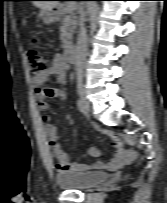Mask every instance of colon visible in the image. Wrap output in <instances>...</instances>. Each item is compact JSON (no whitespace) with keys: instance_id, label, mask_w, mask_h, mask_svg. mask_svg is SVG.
<instances>
[{"instance_id":"obj_1","label":"colon","mask_w":167,"mask_h":203,"mask_svg":"<svg viewBox=\"0 0 167 203\" xmlns=\"http://www.w3.org/2000/svg\"><path fill=\"white\" fill-rule=\"evenodd\" d=\"M32 43L34 44V41ZM28 60L30 70L34 74H42L49 68V59L33 47L28 50ZM123 156L129 163L136 159L137 153L134 150H125Z\"/></svg>"}]
</instances>
